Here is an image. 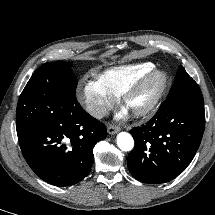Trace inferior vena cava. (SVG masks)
I'll use <instances>...</instances> for the list:
<instances>
[{"label":"inferior vena cava","mask_w":215,"mask_h":215,"mask_svg":"<svg viewBox=\"0 0 215 215\" xmlns=\"http://www.w3.org/2000/svg\"><path fill=\"white\" fill-rule=\"evenodd\" d=\"M89 112L95 118H102L107 115L108 111L105 107L94 106L89 109Z\"/></svg>","instance_id":"602c4592"}]
</instances>
